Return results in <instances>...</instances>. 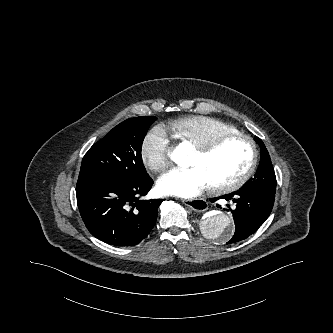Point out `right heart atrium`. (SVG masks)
Returning a JSON list of instances; mask_svg holds the SVG:
<instances>
[{"label": "right heart atrium", "mask_w": 333, "mask_h": 333, "mask_svg": "<svg viewBox=\"0 0 333 333\" xmlns=\"http://www.w3.org/2000/svg\"><path fill=\"white\" fill-rule=\"evenodd\" d=\"M171 146L165 129L161 126L152 128L143 138L140 156L145 167L160 173L170 164Z\"/></svg>", "instance_id": "d8ad5b80"}]
</instances>
